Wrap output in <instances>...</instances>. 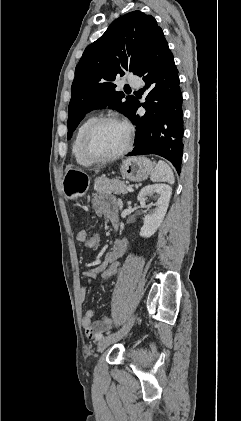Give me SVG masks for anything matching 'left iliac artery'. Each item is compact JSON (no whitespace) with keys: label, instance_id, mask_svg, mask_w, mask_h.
I'll return each instance as SVG.
<instances>
[{"label":"left iliac artery","instance_id":"left-iliac-artery-1","mask_svg":"<svg viewBox=\"0 0 241 421\" xmlns=\"http://www.w3.org/2000/svg\"><path fill=\"white\" fill-rule=\"evenodd\" d=\"M102 338V336L100 335L99 337H98V339H101Z\"/></svg>","mask_w":241,"mask_h":421}]
</instances>
